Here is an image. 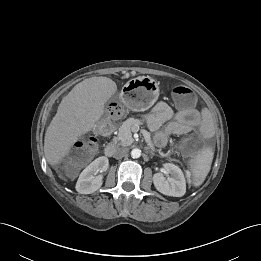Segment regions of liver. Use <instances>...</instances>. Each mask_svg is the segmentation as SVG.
Masks as SVG:
<instances>
[{"label":"liver","mask_w":261,"mask_h":261,"mask_svg":"<svg viewBox=\"0 0 261 261\" xmlns=\"http://www.w3.org/2000/svg\"><path fill=\"white\" fill-rule=\"evenodd\" d=\"M116 91L110 78L91 77L76 84L62 99L44 138V153L51 166L61 162L78 137L94 128Z\"/></svg>","instance_id":"6515ba94"}]
</instances>
